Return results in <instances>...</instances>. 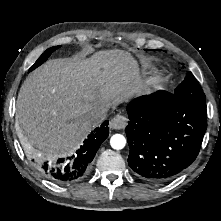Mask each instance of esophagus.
I'll return each mask as SVG.
<instances>
[{"instance_id":"esophagus-1","label":"esophagus","mask_w":221,"mask_h":221,"mask_svg":"<svg viewBox=\"0 0 221 221\" xmlns=\"http://www.w3.org/2000/svg\"><path fill=\"white\" fill-rule=\"evenodd\" d=\"M128 118L123 114H117L110 120L109 127L111 129L120 130L126 127Z\"/></svg>"}]
</instances>
